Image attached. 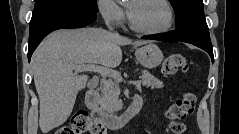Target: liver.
<instances>
[{
  "mask_svg": "<svg viewBox=\"0 0 239 134\" xmlns=\"http://www.w3.org/2000/svg\"><path fill=\"white\" fill-rule=\"evenodd\" d=\"M101 28L58 30L48 35L31 59L34 83L40 101L39 126L43 134L62 125L70 116L77 94L88 76L73 72L76 64H101L115 68L122 61L120 46H140Z\"/></svg>",
  "mask_w": 239,
  "mask_h": 134,
  "instance_id": "obj_1",
  "label": "liver"
}]
</instances>
